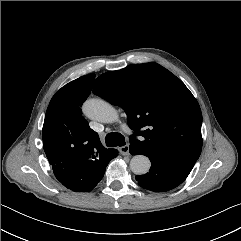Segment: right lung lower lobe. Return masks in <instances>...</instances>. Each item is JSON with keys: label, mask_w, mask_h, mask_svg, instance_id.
<instances>
[{"label": "right lung lower lobe", "mask_w": 241, "mask_h": 241, "mask_svg": "<svg viewBox=\"0 0 241 241\" xmlns=\"http://www.w3.org/2000/svg\"><path fill=\"white\" fill-rule=\"evenodd\" d=\"M117 156L114 150L109 158L98 161H64L51 163L59 182L72 191H91L103 178L109 161Z\"/></svg>", "instance_id": "obj_1"}]
</instances>
